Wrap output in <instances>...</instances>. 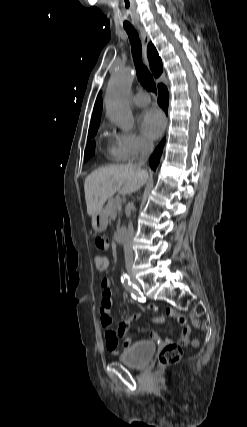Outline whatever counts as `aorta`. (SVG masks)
Masks as SVG:
<instances>
[{
  "label": "aorta",
  "instance_id": "obj_1",
  "mask_svg": "<svg viewBox=\"0 0 247 427\" xmlns=\"http://www.w3.org/2000/svg\"><path fill=\"white\" fill-rule=\"evenodd\" d=\"M133 80L134 73L131 68H116L105 95L107 117L125 131H130L134 127V118L128 106Z\"/></svg>",
  "mask_w": 247,
  "mask_h": 427
}]
</instances>
